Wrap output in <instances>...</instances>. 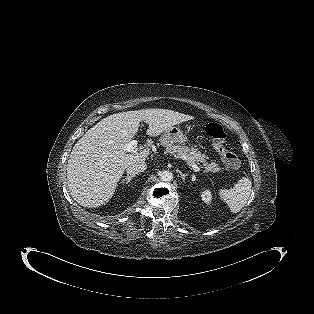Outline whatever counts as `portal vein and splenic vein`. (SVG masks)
<instances>
[{
  "instance_id": "portal-vein-and-splenic-vein-1",
  "label": "portal vein and splenic vein",
  "mask_w": 314,
  "mask_h": 314,
  "mask_svg": "<svg viewBox=\"0 0 314 314\" xmlns=\"http://www.w3.org/2000/svg\"><path fill=\"white\" fill-rule=\"evenodd\" d=\"M137 144H138V141L132 140V141H130L129 143H127L125 145L124 149L127 152H137ZM192 168L196 172H200L201 171L200 167H198L196 164H193Z\"/></svg>"
}]
</instances>
